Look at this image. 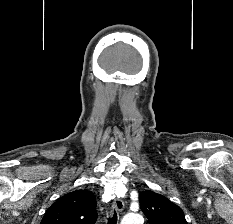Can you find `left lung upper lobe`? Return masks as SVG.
<instances>
[{"label": "left lung upper lobe", "mask_w": 233, "mask_h": 224, "mask_svg": "<svg viewBox=\"0 0 233 224\" xmlns=\"http://www.w3.org/2000/svg\"><path fill=\"white\" fill-rule=\"evenodd\" d=\"M139 198L140 208L149 224H188L182 209L166 197L145 190Z\"/></svg>", "instance_id": "1"}]
</instances>
